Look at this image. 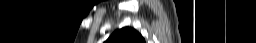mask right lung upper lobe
I'll list each match as a JSON object with an SVG mask.
<instances>
[{
    "mask_svg": "<svg viewBox=\"0 0 256 43\" xmlns=\"http://www.w3.org/2000/svg\"><path fill=\"white\" fill-rule=\"evenodd\" d=\"M105 43H146L141 34L135 29L125 27L116 30Z\"/></svg>",
    "mask_w": 256,
    "mask_h": 43,
    "instance_id": "right-lung-upper-lobe-1",
    "label": "right lung upper lobe"
}]
</instances>
